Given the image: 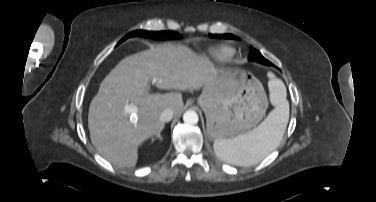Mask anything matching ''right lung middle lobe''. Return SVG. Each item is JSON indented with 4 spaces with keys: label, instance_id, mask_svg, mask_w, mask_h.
Instances as JSON below:
<instances>
[{
    "label": "right lung middle lobe",
    "instance_id": "obj_1",
    "mask_svg": "<svg viewBox=\"0 0 376 202\" xmlns=\"http://www.w3.org/2000/svg\"><path fill=\"white\" fill-rule=\"evenodd\" d=\"M132 36H142V37H149L153 39H166V38H178L180 37L179 34L172 32V31H161V32H149L144 30L133 31L127 34L119 43L123 42L129 37Z\"/></svg>",
    "mask_w": 376,
    "mask_h": 202
}]
</instances>
